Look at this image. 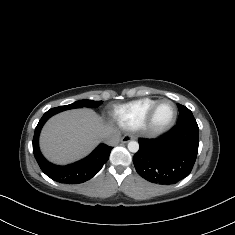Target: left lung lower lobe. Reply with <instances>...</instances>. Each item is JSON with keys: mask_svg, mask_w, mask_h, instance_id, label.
<instances>
[{"mask_svg": "<svg viewBox=\"0 0 235 235\" xmlns=\"http://www.w3.org/2000/svg\"><path fill=\"white\" fill-rule=\"evenodd\" d=\"M138 142L133 157L138 174L152 183H176L190 174L196 161L198 126L176 125L158 139Z\"/></svg>", "mask_w": 235, "mask_h": 235, "instance_id": "left-lung-lower-lobe-1", "label": "left lung lower lobe"}]
</instances>
